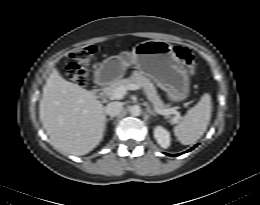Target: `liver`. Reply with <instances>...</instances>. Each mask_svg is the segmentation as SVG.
<instances>
[{
    "label": "liver",
    "mask_w": 260,
    "mask_h": 205,
    "mask_svg": "<svg viewBox=\"0 0 260 205\" xmlns=\"http://www.w3.org/2000/svg\"><path fill=\"white\" fill-rule=\"evenodd\" d=\"M39 116L53 145L62 153L85 155L104 135L105 107L93 92L65 80L56 69L43 87Z\"/></svg>",
    "instance_id": "6515ba94"
}]
</instances>
